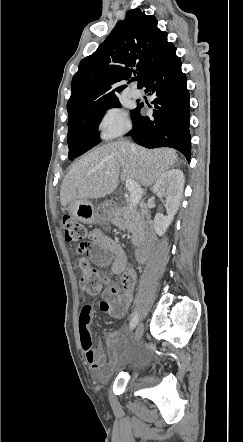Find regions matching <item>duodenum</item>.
<instances>
[{"mask_svg":"<svg viewBox=\"0 0 243 442\" xmlns=\"http://www.w3.org/2000/svg\"><path fill=\"white\" fill-rule=\"evenodd\" d=\"M142 219H145V213L142 212L140 215ZM152 233L153 228L150 225L148 220L144 221V242L137 247L135 251V258L138 263H146L149 259V256L152 252Z\"/></svg>","mask_w":243,"mask_h":442,"instance_id":"1","label":"duodenum"}]
</instances>
